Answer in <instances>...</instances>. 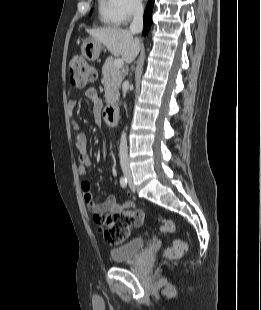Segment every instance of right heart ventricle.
<instances>
[{
    "label": "right heart ventricle",
    "mask_w": 261,
    "mask_h": 310,
    "mask_svg": "<svg viewBox=\"0 0 261 310\" xmlns=\"http://www.w3.org/2000/svg\"><path fill=\"white\" fill-rule=\"evenodd\" d=\"M98 16L100 22L106 26L121 24L116 14L115 0H98Z\"/></svg>",
    "instance_id": "e07e8e85"
}]
</instances>
